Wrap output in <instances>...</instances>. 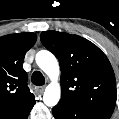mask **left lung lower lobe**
<instances>
[{
  "mask_svg": "<svg viewBox=\"0 0 119 119\" xmlns=\"http://www.w3.org/2000/svg\"><path fill=\"white\" fill-rule=\"evenodd\" d=\"M55 119H110L112 113L79 110L78 108L58 103L52 109Z\"/></svg>",
  "mask_w": 119,
  "mask_h": 119,
  "instance_id": "0a47b994",
  "label": "left lung lower lobe"
}]
</instances>
